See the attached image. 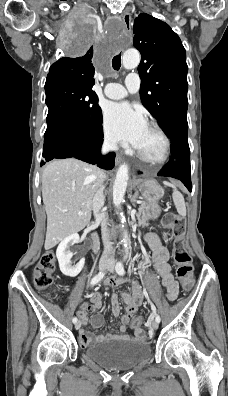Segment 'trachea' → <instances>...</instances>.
Listing matches in <instances>:
<instances>
[{
    "mask_svg": "<svg viewBox=\"0 0 228 396\" xmlns=\"http://www.w3.org/2000/svg\"><path fill=\"white\" fill-rule=\"evenodd\" d=\"M112 67L114 70L120 69V67H121V53L113 57Z\"/></svg>",
    "mask_w": 228,
    "mask_h": 396,
    "instance_id": "1",
    "label": "trachea"
}]
</instances>
